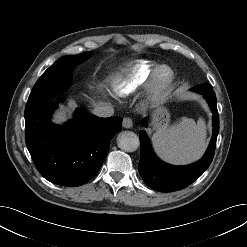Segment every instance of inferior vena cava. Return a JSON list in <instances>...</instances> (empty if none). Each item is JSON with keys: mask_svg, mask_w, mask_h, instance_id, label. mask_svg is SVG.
Listing matches in <instances>:
<instances>
[{"mask_svg": "<svg viewBox=\"0 0 247 247\" xmlns=\"http://www.w3.org/2000/svg\"><path fill=\"white\" fill-rule=\"evenodd\" d=\"M94 114L98 117H110L114 113V109L112 106H98L94 109Z\"/></svg>", "mask_w": 247, "mask_h": 247, "instance_id": "obj_1", "label": "inferior vena cava"}]
</instances>
